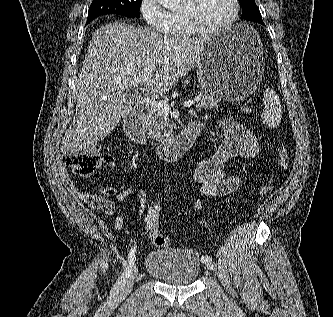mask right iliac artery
Masks as SVG:
<instances>
[{
  "label": "right iliac artery",
  "instance_id": "obj_1",
  "mask_svg": "<svg viewBox=\"0 0 333 317\" xmlns=\"http://www.w3.org/2000/svg\"><path fill=\"white\" fill-rule=\"evenodd\" d=\"M135 252H136V246L134 245L129 252L127 266H126L124 272L119 277V279L117 280V282L115 283V285L113 286V288L111 290L113 294L117 293L121 289V287L125 284V282L128 280V278L132 272V268L134 266Z\"/></svg>",
  "mask_w": 333,
  "mask_h": 317
}]
</instances>
